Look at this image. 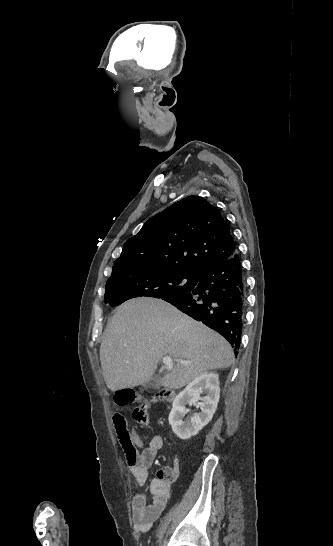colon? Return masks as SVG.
Wrapping results in <instances>:
<instances>
[{
	"mask_svg": "<svg viewBox=\"0 0 333 546\" xmlns=\"http://www.w3.org/2000/svg\"><path fill=\"white\" fill-rule=\"evenodd\" d=\"M174 397V393L168 389H162L157 392L152 398L144 399L140 405L134 410V419L142 426H146L149 423L148 409L158 401H171ZM136 394L133 391H120L116 395V402L119 405H129L136 400ZM114 428L120 446L122 447L125 457L128 460L135 459L137 455V448L131 440L130 433L127 429L125 418L120 414L113 416Z\"/></svg>",
	"mask_w": 333,
	"mask_h": 546,
	"instance_id": "obj_1",
	"label": "colon"
}]
</instances>
